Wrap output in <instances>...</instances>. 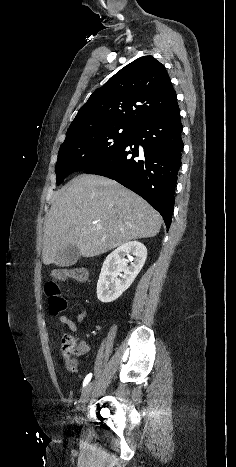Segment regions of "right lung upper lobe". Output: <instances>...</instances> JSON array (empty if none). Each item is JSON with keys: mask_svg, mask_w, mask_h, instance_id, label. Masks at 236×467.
<instances>
[{"mask_svg": "<svg viewBox=\"0 0 236 467\" xmlns=\"http://www.w3.org/2000/svg\"><path fill=\"white\" fill-rule=\"evenodd\" d=\"M175 103L177 95L166 68L154 57L143 56L92 93L67 135L114 125L135 128Z\"/></svg>", "mask_w": 236, "mask_h": 467, "instance_id": "1", "label": "right lung upper lobe"}]
</instances>
